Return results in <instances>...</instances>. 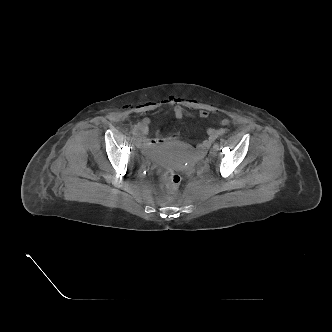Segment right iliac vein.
Returning <instances> with one entry per match:
<instances>
[{"instance_id": "1", "label": "right iliac vein", "mask_w": 332, "mask_h": 332, "mask_svg": "<svg viewBox=\"0 0 332 332\" xmlns=\"http://www.w3.org/2000/svg\"><path fill=\"white\" fill-rule=\"evenodd\" d=\"M135 145L138 148H141V146H142V138L139 134L135 135Z\"/></svg>"}]
</instances>
